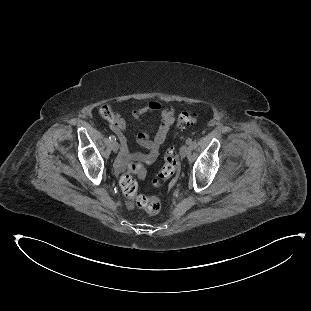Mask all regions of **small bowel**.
<instances>
[{"mask_svg": "<svg viewBox=\"0 0 311 311\" xmlns=\"http://www.w3.org/2000/svg\"><path fill=\"white\" fill-rule=\"evenodd\" d=\"M153 112H160L161 114V120L154 137L150 138L148 132H142L137 136L138 144L147 150L146 153L132 154L130 152L128 141L124 133L126 123L123 118L119 116L116 125L111 127L120 142L119 161L121 164H126L130 160L151 164L158 158L160 147L164 143L170 127L174 122V109L172 107H163L161 103L152 101L147 105L134 109L131 115L137 120Z\"/></svg>", "mask_w": 311, "mask_h": 311, "instance_id": "small-bowel-1", "label": "small bowel"}]
</instances>
